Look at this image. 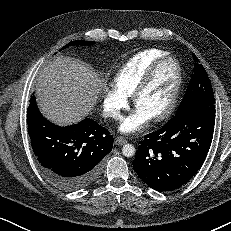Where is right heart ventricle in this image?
<instances>
[{"label": "right heart ventricle", "instance_id": "1", "mask_svg": "<svg viewBox=\"0 0 231 231\" xmlns=\"http://www.w3.org/2000/svg\"><path fill=\"white\" fill-rule=\"evenodd\" d=\"M167 52L160 49H147L130 58L114 75V84L126 96H132L149 66Z\"/></svg>", "mask_w": 231, "mask_h": 231}]
</instances>
